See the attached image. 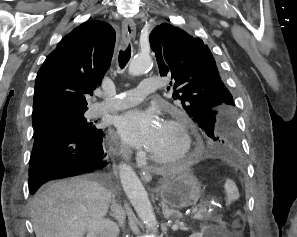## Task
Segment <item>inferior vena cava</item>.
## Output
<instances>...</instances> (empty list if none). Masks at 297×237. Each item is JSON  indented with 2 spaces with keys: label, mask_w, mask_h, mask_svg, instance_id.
<instances>
[{
  "label": "inferior vena cava",
  "mask_w": 297,
  "mask_h": 237,
  "mask_svg": "<svg viewBox=\"0 0 297 237\" xmlns=\"http://www.w3.org/2000/svg\"><path fill=\"white\" fill-rule=\"evenodd\" d=\"M120 208H121V207H120ZM120 212H124L122 208L120 209Z\"/></svg>",
  "instance_id": "602c4592"
}]
</instances>
